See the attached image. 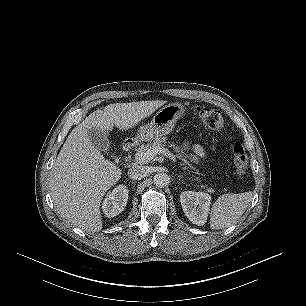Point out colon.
Here are the masks:
<instances>
[{
	"mask_svg": "<svg viewBox=\"0 0 306 306\" xmlns=\"http://www.w3.org/2000/svg\"><path fill=\"white\" fill-rule=\"evenodd\" d=\"M197 115L203 125L211 130H220L224 126V116L218 109L198 106ZM232 153L234 157V169L238 177H243L248 167L247 153L239 140L232 143Z\"/></svg>",
	"mask_w": 306,
	"mask_h": 306,
	"instance_id": "colon-1",
	"label": "colon"
}]
</instances>
